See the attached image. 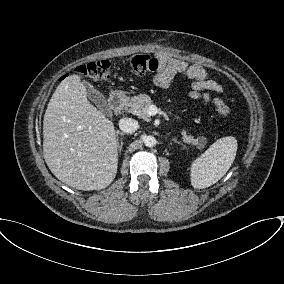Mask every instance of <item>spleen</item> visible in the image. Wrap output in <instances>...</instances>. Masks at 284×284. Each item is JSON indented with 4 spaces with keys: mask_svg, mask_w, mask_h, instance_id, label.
Here are the masks:
<instances>
[{
    "mask_svg": "<svg viewBox=\"0 0 284 284\" xmlns=\"http://www.w3.org/2000/svg\"><path fill=\"white\" fill-rule=\"evenodd\" d=\"M237 151V140L232 136L218 139L191 164V185L196 189L218 182L231 167Z\"/></svg>",
    "mask_w": 284,
    "mask_h": 284,
    "instance_id": "spleen-1",
    "label": "spleen"
}]
</instances>
